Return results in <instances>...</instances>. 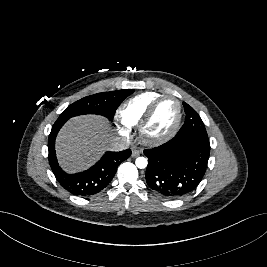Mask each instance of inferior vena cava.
<instances>
[{
    "instance_id": "inferior-vena-cava-1",
    "label": "inferior vena cava",
    "mask_w": 267,
    "mask_h": 267,
    "mask_svg": "<svg viewBox=\"0 0 267 267\" xmlns=\"http://www.w3.org/2000/svg\"><path fill=\"white\" fill-rule=\"evenodd\" d=\"M130 142L125 138H115L112 142V149L122 151L129 147Z\"/></svg>"
}]
</instances>
